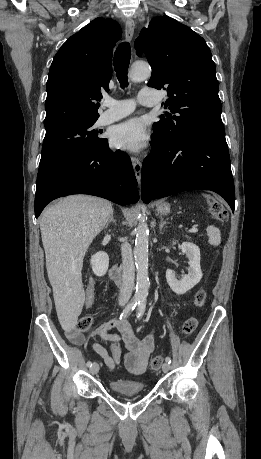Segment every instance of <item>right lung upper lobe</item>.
<instances>
[{
	"label": "right lung upper lobe",
	"instance_id": "right-lung-upper-lobe-1",
	"mask_svg": "<svg viewBox=\"0 0 261 459\" xmlns=\"http://www.w3.org/2000/svg\"><path fill=\"white\" fill-rule=\"evenodd\" d=\"M121 28L98 18L71 36L55 55L47 81L45 128L70 120H93L109 90L113 47Z\"/></svg>",
	"mask_w": 261,
	"mask_h": 459
}]
</instances>
